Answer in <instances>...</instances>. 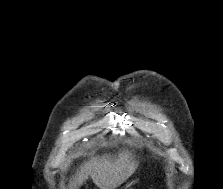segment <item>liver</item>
Instances as JSON below:
<instances>
[{"mask_svg":"<svg viewBox=\"0 0 223 189\" xmlns=\"http://www.w3.org/2000/svg\"><path fill=\"white\" fill-rule=\"evenodd\" d=\"M138 164L127 153L118 157H95L85 162L70 179L68 189H79L89 178L100 189H115L123 184L135 171Z\"/></svg>","mask_w":223,"mask_h":189,"instance_id":"6515ba94","label":"liver"}]
</instances>
